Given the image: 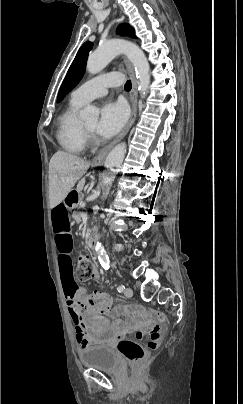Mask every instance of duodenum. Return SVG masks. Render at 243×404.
I'll return each instance as SVG.
<instances>
[{"label": "duodenum", "mask_w": 243, "mask_h": 404, "mask_svg": "<svg viewBox=\"0 0 243 404\" xmlns=\"http://www.w3.org/2000/svg\"><path fill=\"white\" fill-rule=\"evenodd\" d=\"M63 202L69 209L77 207L79 204V192L75 189L68 190L64 196ZM96 241H97V235L96 234L90 235V237L88 238V246L90 248H94Z\"/></svg>", "instance_id": "410a0bca"}]
</instances>
